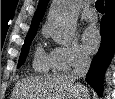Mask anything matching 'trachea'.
I'll list each match as a JSON object with an SVG mask.
<instances>
[{
  "label": "trachea",
  "instance_id": "1",
  "mask_svg": "<svg viewBox=\"0 0 115 99\" xmlns=\"http://www.w3.org/2000/svg\"><path fill=\"white\" fill-rule=\"evenodd\" d=\"M95 7L97 9L98 12L103 13L104 10V0H97Z\"/></svg>",
  "mask_w": 115,
  "mask_h": 99
}]
</instances>
